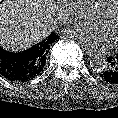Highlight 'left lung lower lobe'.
<instances>
[{
    "label": "left lung lower lobe",
    "instance_id": "1",
    "mask_svg": "<svg viewBox=\"0 0 118 118\" xmlns=\"http://www.w3.org/2000/svg\"><path fill=\"white\" fill-rule=\"evenodd\" d=\"M108 65L101 75L102 79L111 84H118V55L108 57Z\"/></svg>",
    "mask_w": 118,
    "mask_h": 118
}]
</instances>
